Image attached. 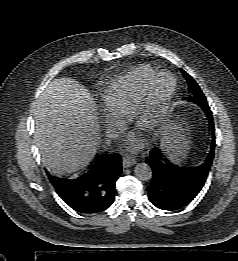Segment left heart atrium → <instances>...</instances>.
Here are the masks:
<instances>
[{"label":"left heart atrium","mask_w":238,"mask_h":261,"mask_svg":"<svg viewBox=\"0 0 238 261\" xmlns=\"http://www.w3.org/2000/svg\"><path fill=\"white\" fill-rule=\"evenodd\" d=\"M143 145H144L143 139L139 135L133 134L128 137L123 147L127 152L135 153L138 152L140 149H142Z\"/></svg>","instance_id":"obj_1"}]
</instances>
